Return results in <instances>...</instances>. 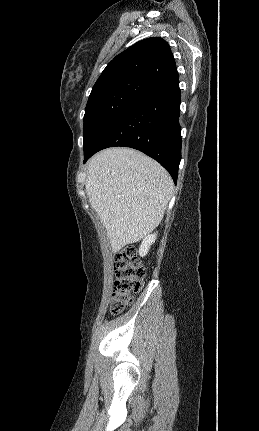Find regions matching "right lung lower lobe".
<instances>
[{"mask_svg":"<svg viewBox=\"0 0 259 431\" xmlns=\"http://www.w3.org/2000/svg\"><path fill=\"white\" fill-rule=\"evenodd\" d=\"M180 99L178 78L151 88L103 131L84 154V162L108 147H131L158 161L176 183L181 160Z\"/></svg>","mask_w":259,"mask_h":431,"instance_id":"obj_1","label":"right lung lower lobe"}]
</instances>
